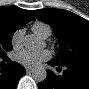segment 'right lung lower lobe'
<instances>
[{"mask_svg":"<svg viewBox=\"0 0 89 89\" xmlns=\"http://www.w3.org/2000/svg\"><path fill=\"white\" fill-rule=\"evenodd\" d=\"M25 74L24 67L16 62L9 61L7 66L0 70V88L15 89L19 79Z\"/></svg>","mask_w":89,"mask_h":89,"instance_id":"1","label":"right lung lower lobe"}]
</instances>
